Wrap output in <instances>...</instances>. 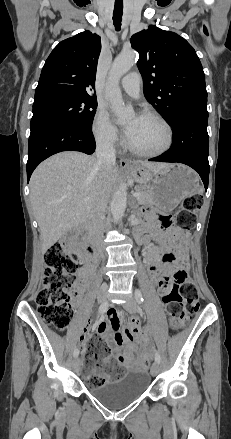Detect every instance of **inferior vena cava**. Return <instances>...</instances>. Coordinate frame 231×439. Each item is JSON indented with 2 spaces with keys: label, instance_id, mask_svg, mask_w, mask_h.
<instances>
[{
  "label": "inferior vena cava",
  "instance_id": "602c4592",
  "mask_svg": "<svg viewBox=\"0 0 231 439\" xmlns=\"http://www.w3.org/2000/svg\"><path fill=\"white\" fill-rule=\"evenodd\" d=\"M115 154L116 151L112 142L108 140H100L97 142L96 169L102 173V180L91 210V218L95 235L99 240L102 238L104 231V212L110 195V189L106 183L107 171L115 164Z\"/></svg>",
  "mask_w": 231,
  "mask_h": 439
}]
</instances>
